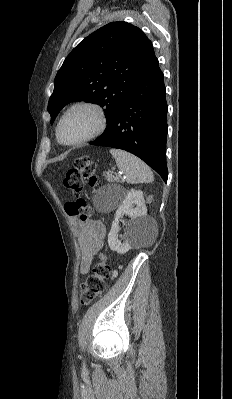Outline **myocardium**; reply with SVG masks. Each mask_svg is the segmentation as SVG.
<instances>
[{"label": "myocardium", "instance_id": "f54148a6", "mask_svg": "<svg viewBox=\"0 0 232 399\" xmlns=\"http://www.w3.org/2000/svg\"><path fill=\"white\" fill-rule=\"evenodd\" d=\"M79 107H86V108H89L94 111L96 118H97L96 127L89 135H87L86 137H84L82 139H79L76 141H66L61 134L62 123H63L65 117L72 110L79 108ZM107 123H108L107 115L102 106H100L96 103H93V102H78V103L71 105L62 114V116L60 117L59 122L57 124V127H56V135H57V138L60 141V143H62L63 145H67V146L80 145L82 143H85V142L92 140V139L98 137L99 135H101L105 131V129L107 127Z\"/></svg>", "mask_w": 232, "mask_h": 399}]
</instances>
